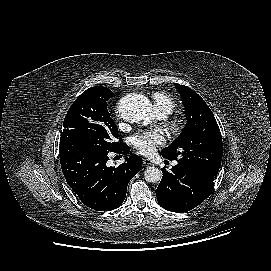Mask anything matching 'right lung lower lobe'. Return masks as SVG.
I'll list each match as a JSON object with an SVG mask.
<instances>
[{
    "label": "right lung lower lobe",
    "mask_w": 271,
    "mask_h": 271,
    "mask_svg": "<svg viewBox=\"0 0 271 271\" xmlns=\"http://www.w3.org/2000/svg\"><path fill=\"white\" fill-rule=\"evenodd\" d=\"M129 151L125 143L111 151L95 146H60L66 182L84 205L96 211H110L123 203L128 183L140 171L142 160L132 155L116 168L106 163L110 152L126 155Z\"/></svg>",
    "instance_id": "1"
}]
</instances>
